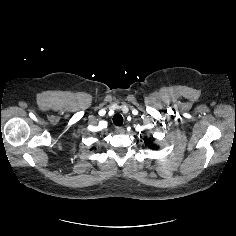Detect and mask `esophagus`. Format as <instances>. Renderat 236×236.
<instances>
[{"label":"esophagus","mask_w":236,"mask_h":236,"mask_svg":"<svg viewBox=\"0 0 236 236\" xmlns=\"http://www.w3.org/2000/svg\"><path fill=\"white\" fill-rule=\"evenodd\" d=\"M116 132L119 134H123L125 132V129L123 127H117Z\"/></svg>","instance_id":"34e87169"}]
</instances>
